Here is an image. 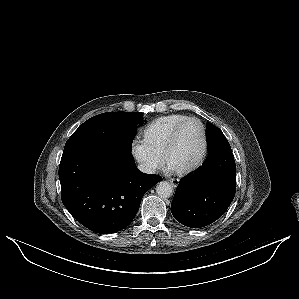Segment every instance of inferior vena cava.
Returning <instances> with one entry per match:
<instances>
[{"instance_id": "1", "label": "inferior vena cava", "mask_w": 299, "mask_h": 299, "mask_svg": "<svg viewBox=\"0 0 299 299\" xmlns=\"http://www.w3.org/2000/svg\"><path fill=\"white\" fill-rule=\"evenodd\" d=\"M138 169L141 172L147 173V174H152L154 172L153 168L147 164H139Z\"/></svg>"}]
</instances>
